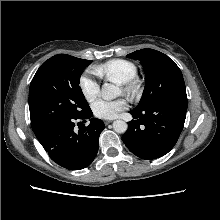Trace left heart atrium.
Here are the masks:
<instances>
[{
	"mask_svg": "<svg viewBox=\"0 0 220 220\" xmlns=\"http://www.w3.org/2000/svg\"><path fill=\"white\" fill-rule=\"evenodd\" d=\"M128 107L124 98L116 100L99 99L92 104V111L98 118L112 119Z\"/></svg>",
	"mask_w": 220,
	"mask_h": 220,
	"instance_id": "left-heart-atrium-1",
	"label": "left heart atrium"
}]
</instances>
